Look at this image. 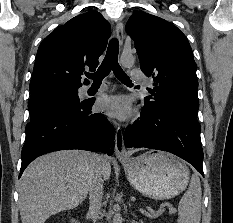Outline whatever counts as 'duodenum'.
<instances>
[{
  "label": "duodenum",
  "instance_id": "410a0bca",
  "mask_svg": "<svg viewBox=\"0 0 233 223\" xmlns=\"http://www.w3.org/2000/svg\"><path fill=\"white\" fill-rule=\"evenodd\" d=\"M72 223H78V221L77 220H72Z\"/></svg>",
  "mask_w": 233,
  "mask_h": 223
}]
</instances>
